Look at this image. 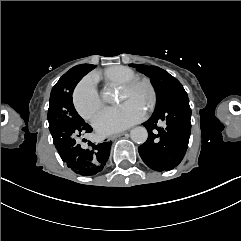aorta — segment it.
I'll list each match as a JSON object with an SVG mask.
<instances>
[{"instance_id": "762f6f07", "label": "aorta", "mask_w": 241, "mask_h": 241, "mask_svg": "<svg viewBox=\"0 0 241 241\" xmlns=\"http://www.w3.org/2000/svg\"><path fill=\"white\" fill-rule=\"evenodd\" d=\"M102 99L104 102L112 103L115 101V91L113 87L104 88L102 92ZM131 140L138 144H143L148 139L147 129L143 126L135 127L130 132Z\"/></svg>"}]
</instances>
